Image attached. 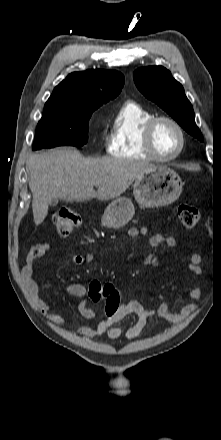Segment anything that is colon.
Segmentation results:
<instances>
[{"instance_id":"colon-1","label":"colon","mask_w":221,"mask_h":440,"mask_svg":"<svg viewBox=\"0 0 221 440\" xmlns=\"http://www.w3.org/2000/svg\"><path fill=\"white\" fill-rule=\"evenodd\" d=\"M177 215L185 228H194L200 220L199 210L192 205H180L177 209ZM53 222L58 234L64 237L80 226L81 216L70 208H60L55 212ZM88 297L92 302L104 299L103 321H112L113 315H118L121 298L112 283L90 282Z\"/></svg>"}]
</instances>
